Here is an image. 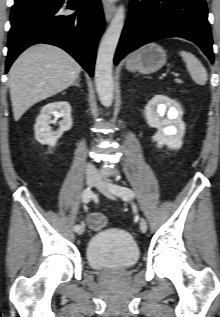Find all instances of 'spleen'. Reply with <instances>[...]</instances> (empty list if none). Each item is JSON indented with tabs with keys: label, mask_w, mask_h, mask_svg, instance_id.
Wrapping results in <instances>:
<instances>
[{
	"label": "spleen",
	"mask_w": 220,
	"mask_h": 317,
	"mask_svg": "<svg viewBox=\"0 0 220 317\" xmlns=\"http://www.w3.org/2000/svg\"><path fill=\"white\" fill-rule=\"evenodd\" d=\"M179 54L185 62L193 81L198 85H205L208 80V75L202 63L192 53L180 51Z\"/></svg>",
	"instance_id": "spleen-1"
}]
</instances>
